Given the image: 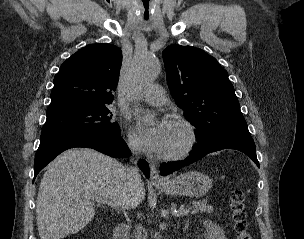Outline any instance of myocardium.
I'll use <instances>...</instances> for the list:
<instances>
[{"label": "myocardium", "instance_id": "myocardium-1", "mask_svg": "<svg viewBox=\"0 0 304 239\" xmlns=\"http://www.w3.org/2000/svg\"><path fill=\"white\" fill-rule=\"evenodd\" d=\"M171 122L179 125L184 130L185 141L179 148L160 154V158L167 161L179 160L188 156L198 142L197 128L190 120L182 116H176L172 118Z\"/></svg>", "mask_w": 304, "mask_h": 239}]
</instances>
